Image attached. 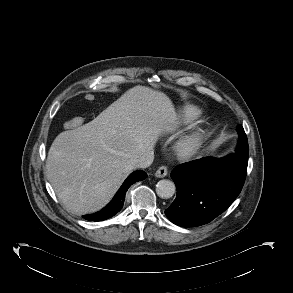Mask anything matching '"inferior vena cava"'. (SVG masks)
I'll return each mask as SVG.
<instances>
[{
	"label": "inferior vena cava",
	"mask_w": 293,
	"mask_h": 293,
	"mask_svg": "<svg viewBox=\"0 0 293 293\" xmlns=\"http://www.w3.org/2000/svg\"><path fill=\"white\" fill-rule=\"evenodd\" d=\"M154 159V151H149L139 157L138 159H135L133 162L134 168H147L149 167Z\"/></svg>",
	"instance_id": "1"
}]
</instances>
